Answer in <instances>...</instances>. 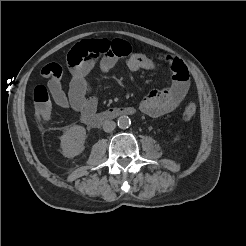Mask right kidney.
<instances>
[{
	"label": "right kidney",
	"instance_id": "obj_1",
	"mask_svg": "<svg viewBox=\"0 0 246 246\" xmlns=\"http://www.w3.org/2000/svg\"><path fill=\"white\" fill-rule=\"evenodd\" d=\"M86 130L83 126L75 125L69 128L61 137L62 153L65 157L73 158L84 149Z\"/></svg>",
	"mask_w": 246,
	"mask_h": 246
}]
</instances>
